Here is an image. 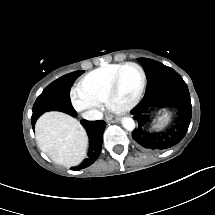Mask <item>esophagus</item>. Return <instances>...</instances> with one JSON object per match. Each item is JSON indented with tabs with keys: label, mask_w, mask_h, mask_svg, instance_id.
Here are the masks:
<instances>
[{
	"label": "esophagus",
	"mask_w": 215,
	"mask_h": 215,
	"mask_svg": "<svg viewBox=\"0 0 215 215\" xmlns=\"http://www.w3.org/2000/svg\"><path fill=\"white\" fill-rule=\"evenodd\" d=\"M106 121H107L108 123H114V122L119 121V119H118V118H115V117H113V116H108V117H106Z\"/></svg>",
	"instance_id": "1"
}]
</instances>
